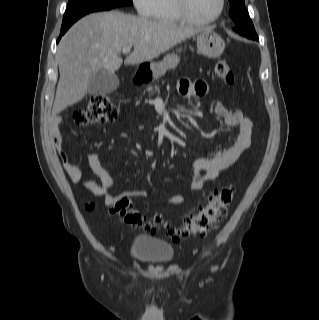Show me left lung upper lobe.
Segmentation results:
<instances>
[{"instance_id": "left-lung-upper-lobe-1", "label": "left lung upper lobe", "mask_w": 319, "mask_h": 320, "mask_svg": "<svg viewBox=\"0 0 319 320\" xmlns=\"http://www.w3.org/2000/svg\"><path fill=\"white\" fill-rule=\"evenodd\" d=\"M229 15L234 21L236 28L255 33L254 26L245 7L244 0H229Z\"/></svg>"}]
</instances>
